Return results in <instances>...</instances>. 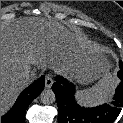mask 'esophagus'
<instances>
[{
    "label": "esophagus",
    "mask_w": 123,
    "mask_h": 123,
    "mask_svg": "<svg viewBox=\"0 0 123 123\" xmlns=\"http://www.w3.org/2000/svg\"><path fill=\"white\" fill-rule=\"evenodd\" d=\"M52 84H53V78H52L51 75L47 74L45 76V87L46 88H51Z\"/></svg>",
    "instance_id": "esophagus-1"
}]
</instances>
